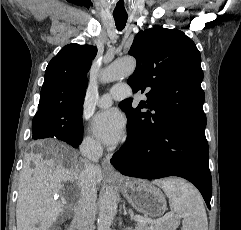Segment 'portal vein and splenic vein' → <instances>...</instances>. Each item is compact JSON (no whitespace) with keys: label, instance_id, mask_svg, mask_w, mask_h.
Segmentation results:
<instances>
[{"label":"portal vein and splenic vein","instance_id":"obj_1","mask_svg":"<svg viewBox=\"0 0 241 230\" xmlns=\"http://www.w3.org/2000/svg\"><path fill=\"white\" fill-rule=\"evenodd\" d=\"M174 214L173 213H168L166 215H164L163 217L156 219V220H152V219H148V218H143V217H139L136 216L133 219L137 222H141V223H149L151 225H160L166 221H168L169 219L173 218Z\"/></svg>","mask_w":241,"mask_h":230}]
</instances>
